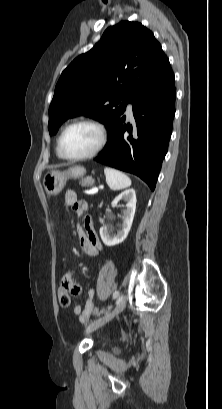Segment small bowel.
Returning a JSON list of instances; mask_svg holds the SVG:
<instances>
[{
    "label": "small bowel",
    "mask_w": 222,
    "mask_h": 409,
    "mask_svg": "<svg viewBox=\"0 0 222 409\" xmlns=\"http://www.w3.org/2000/svg\"><path fill=\"white\" fill-rule=\"evenodd\" d=\"M64 208L72 209L78 218H82L81 222L77 224V233L81 248L83 251L91 256H96L101 251V243L94 229L92 220L85 215L88 211V204L84 200H79L73 191H67L64 196ZM71 273V272H70ZM66 273L62 278V283L69 285V295L71 297H80L82 287L79 281L75 280L74 275ZM95 291L90 289L87 294L84 306L77 304L74 306L73 312L78 316L79 321L87 324L91 316V310L95 307Z\"/></svg>",
    "instance_id": "small-bowel-1"
}]
</instances>
